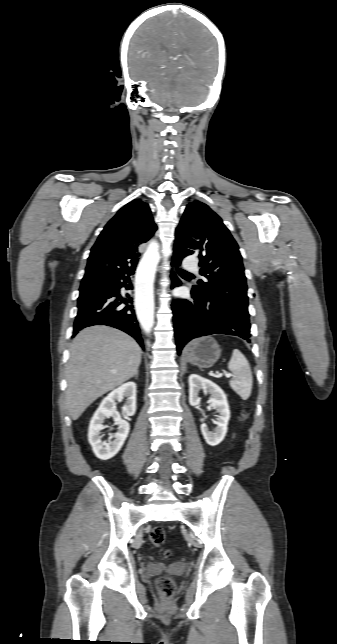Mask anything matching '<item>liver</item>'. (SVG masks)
Listing matches in <instances>:
<instances>
[{
	"instance_id": "6515ba94",
	"label": "liver",
	"mask_w": 337,
	"mask_h": 644,
	"mask_svg": "<svg viewBox=\"0 0 337 644\" xmlns=\"http://www.w3.org/2000/svg\"><path fill=\"white\" fill-rule=\"evenodd\" d=\"M141 353L137 342L120 330L92 326L79 332L71 343L66 368V404L72 420L97 398L133 377Z\"/></svg>"
}]
</instances>
